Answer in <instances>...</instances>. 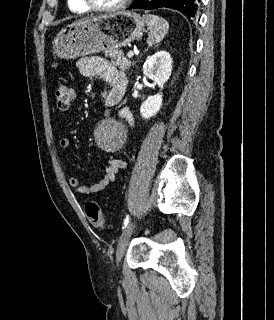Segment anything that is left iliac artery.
<instances>
[{"instance_id": "left-iliac-artery-1", "label": "left iliac artery", "mask_w": 274, "mask_h": 320, "mask_svg": "<svg viewBox=\"0 0 274 320\" xmlns=\"http://www.w3.org/2000/svg\"><path fill=\"white\" fill-rule=\"evenodd\" d=\"M128 223H129V215H127L126 218H125V220H124V227H123V229L126 228V226L128 225Z\"/></svg>"}]
</instances>
